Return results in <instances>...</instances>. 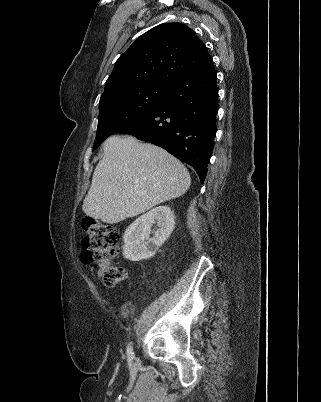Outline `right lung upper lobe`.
Here are the masks:
<instances>
[{
  "instance_id": "1",
  "label": "right lung upper lobe",
  "mask_w": 321,
  "mask_h": 402,
  "mask_svg": "<svg viewBox=\"0 0 321 402\" xmlns=\"http://www.w3.org/2000/svg\"><path fill=\"white\" fill-rule=\"evenodd\" d=\"M213 63L205 44L181 23H164L141 35L116 61L107 96L147 85L168 86Z\"/></svg>"
}]
</instances>
